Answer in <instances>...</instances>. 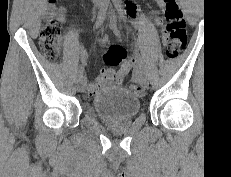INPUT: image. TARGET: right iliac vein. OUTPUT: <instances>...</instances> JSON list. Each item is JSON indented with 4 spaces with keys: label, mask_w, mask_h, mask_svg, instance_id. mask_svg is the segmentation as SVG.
<instances>
[{
    "label": "right iliac vein",
    "mask_w": 231,
    "mask_h": 177,
    "mask_svg": "<svg viewBox=\"0 0 231 177\" xmlns=\"http://www.w3.org/2000/svg\"><path fill=\"white\" fill-rule=\"evenodd\" d=\"M86 87V78L84 76L80 77L77 81V90L83 91Z\"/></svg>",
    "instance_id": "63e3f726"
}]
</instances>
